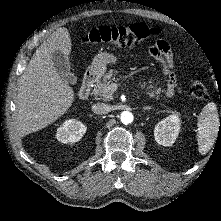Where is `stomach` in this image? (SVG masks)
I'll return each instance as SVG.
<instances>
[{
	"label": "stomach",
	"mask_w": 221,
	"mask_h": 221,
	"mask_svg": "<svg viewBox=\"0 0 221 221\" xmlns=\"http://www.w3.org/2000/svg\"><path fill=\"white\" fill-rule=\"evenodd\" d=\"M116 60V57L110 53H99L88 67V71L90 74L100 77L106 72L107 64H114Z\"/></svg>",
	"instance_id": "obj_1"
}]
</instances>
